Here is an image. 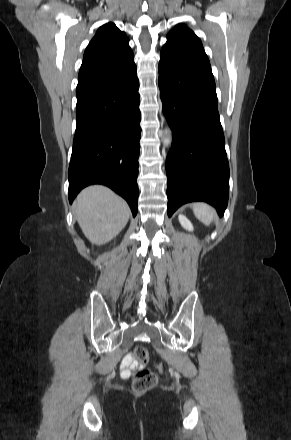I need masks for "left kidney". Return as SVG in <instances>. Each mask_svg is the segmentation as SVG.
<instances>
[{
  "mask_svg": "<svg viewBox=\"0 0 291 440\" xmlns=\"http://www.w3.org/2000/svg\"><path fill=\"white\" fill-rule=\"evenodd\" d=\"M178 219H179V222H180L181 226L184 229H186L188 231H193V225H192V223L190 222V220L186 216L180 214L178 216Z\"/></svg>",
  "mask_w": 291,
  "mask_h": 440,
  "instance_id": "obj_1",
  "label": "left kidney"
}]
</instances>
